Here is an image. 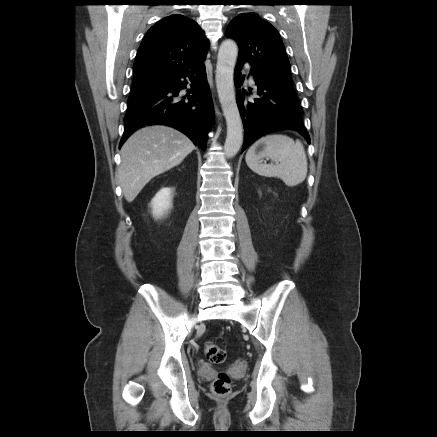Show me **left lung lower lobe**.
I'll return each mask as SVG.
<instances>
[{
  "mask_svg": "<svg viewBox=\"0 0 437 437\" xmlns=\"http://www.w3.org/2000/svg\"><path fill=\"white\" fill-rule=\"evenodd\" d=\"M243 61L238 60L234 72V84L240 87ZM257 85V97L248 100L239 92L236 100L244 124L245 140L242 152L259 137L276 130L292 129L310 143L309 134L301 117V107L294 94L284 91L261 79L251 70ZM252 89L249 90L250 94ZM245 92V90H242Z\"/></svg>",
  "mask_w": 437,
  "mask_h": 437,
  "instance_id": "obj_1",
  "label": "left lung lower lobe"
}]
</instances>
